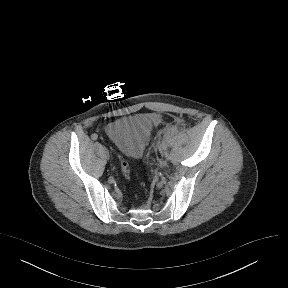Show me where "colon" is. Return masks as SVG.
I'll list each match as a JSON object with an SVG mask.
<instances>
[{
    "label": "colon",
    "mask_w": 288,
    "mask_h": 288,
    "mask_svg": "<svg viewBox=\"0 0 288 288\" xmlns=\"http://www.w3.org/2000/svg\"><path fill=\"white\" fill-rule=\"evenodd\" d=\"M121 169H122V174L124 175V177L126 179H129L131 176V169L128 165V162L124 158L121 159Z\"/></svg>",
    "instance_id": "obj_1"
}]
</instances>
